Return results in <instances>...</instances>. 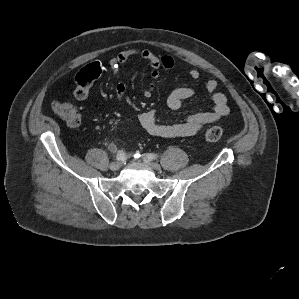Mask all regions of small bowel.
<instances>
[{"instance_id":"small-bowel-1","label":"small bowel","mask_w":299,"mask_h":299,"mask_svg":"<svg viewBox=\"0 0 299 299\" xmlns=\"http://www.w3.org/2000/svg\"><path fill=\"white\" fill-rule=\"evenodd\" d=\"M140 57L147 61L151 71L152 82L144 91L146 97L152 96L156 80L159 78L161 69H172L175 65L173 57L169 55L158 56L148 49L133 48L120 52L110 60V67L115 79L122 77L121 67L132 57ZM101 66L98 62L91 63L82 68L76 76V89L74 97L78 101H84L89 96V89L94 80L101 74ZM189 76L193 80L200 77L197 69H191ZM207 90L212 93L213 106L208 111L198 112L187 117L184 121L178 123H161L154 110H148L139 115V123L142 128L150 135L163 138L189 137L197 134L206 124L215 122L229 114L230 109L227 103V97L220 92H216L217 82L209 80L206 83ZM126 92V86L122 81L116 86V94L119 100H123ZM196 91L192 87H176L167 98V105L173 110L181 108L183 102L195 95ZM111 151H116V146L109 145Z\"/></svg>"}]
</instances>
